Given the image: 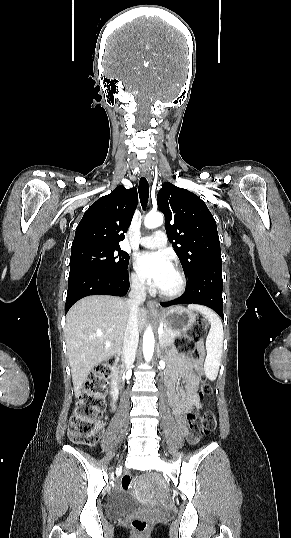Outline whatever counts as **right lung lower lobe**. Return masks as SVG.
<instances>
[{
  "instance_id": "right-lung-lower-lobe-1",
  "label": "right lung lower lobe",
  "mask_w": 291,
  "mask_h": 538,
  "mask_svg": "<svg viewBox=\"0 0 291 538\" xmlns=\"http://www.w3.org/2000/svg\"><path fill=\"white\" fill-rule=\"evenodd\" d=\"M130 287L128 271L110 273L82 270L69 274L66 313L79 299L89 295L125 296Z\"/></svg>"
}]
</instances>
